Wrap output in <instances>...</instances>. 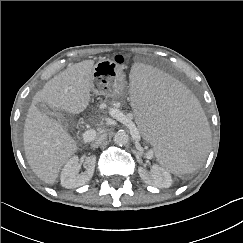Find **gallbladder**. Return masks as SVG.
<instances>
[{"instance_id": "obj_1", "label": "gallbladder", "mask_w": 243, "mask_h": 243, "mask_svg": "<svg viewBox=\"0 0 243 243\" xmlns=\"http://www.w3.org/2000/svg\"><path fill=\"white\" fill-rule=\"evenodd\" d=\"M37 108L40 112L46 114L52 120L58 119V121L60 122V124L63 127H65V128L68 127L67 117L65 116V114L59 112L54 107H51V105L40 103V104L37 105Z\"/></svg>"}]
</instances>
